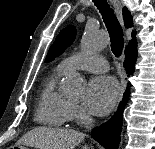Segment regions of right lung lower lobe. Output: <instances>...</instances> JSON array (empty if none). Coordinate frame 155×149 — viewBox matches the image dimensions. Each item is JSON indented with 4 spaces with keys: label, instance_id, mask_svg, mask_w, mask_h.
Segmentation results:
<instances>
[{
    "label": "right lung lower lobe",
    "instance_id": "98d812e1",
    "mask_svg": "<svg viewBox=\"0 0 155 149\" xmlns=\"http://www.w3.org/2000/svg\"><path fill=\"white\" fill-rule=\"evenodd\" d=\"M124 67L127 73H133L134 65L136 61V54L126 53ZM129 97V88L127 87L126 92L123 96V101L120 103L118 111L109 120L99 127H96L91 132V137L99 142L105 149H117L120 142V133L122 128V112L124 106Z\"/></svg>",
    "mask_w": 155,
    "mask_h": 149
}]
</instances>
